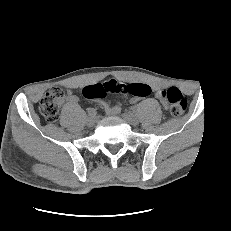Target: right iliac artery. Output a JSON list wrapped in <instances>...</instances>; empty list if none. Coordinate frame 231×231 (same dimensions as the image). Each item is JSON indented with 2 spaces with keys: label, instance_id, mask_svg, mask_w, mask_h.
Listing matches in <instances>:
<instances>
[{
  "label": "right iliac artery",
  "instance_id": "1",
  "mask_svg": "<svg viewBox=\"0 0 231 231\" xmlns=\"http://www.w3.org/2000/svg\"><path fill=\"white\" fill-rule=\"evenodd\" d=\"M89 115H96V110L94 108H88Z\"/></svg>",
  "mask_w": 231,
  "mask_h": 231
}]
</instances>
